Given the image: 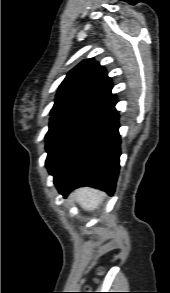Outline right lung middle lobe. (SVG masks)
<instances>
[{
    "mask_svg": "<svg viewBox=\"0 0 170 293\" xmlns=\"http://www.w3.org/2000/svg\"><path fill=\"white\" fill-rule=\"evenodd\" d=\"M110 111L108 108L76 107L50 118L46 134V166L51 175L55 176L63 169Z\"/></svg>",
    "mask_w": 170,
    "mask_h": 293,
    "instance_id": "obj_1",
    "label": "right lung middle lobe"
}]
</instances>
